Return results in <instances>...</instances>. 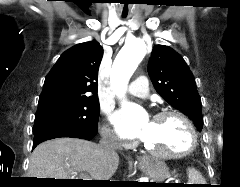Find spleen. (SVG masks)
Wrapping results in <instances>:
<instances>
[{"label":"spleen","instance_id":"obj_1","mask_svg":"<svg viewBox=\"0 0 240 187\" xmlns=\"http://www.w3.org/2000/svg\"><path fill=\"white\" fill-rule=\"evenodd\" d=\"M190 184H205L204 178L194 168H188L187 170Z\"/></svg>","mask_w":240,"mask_h":187}]
</instances>
